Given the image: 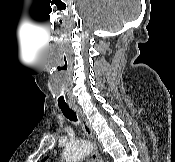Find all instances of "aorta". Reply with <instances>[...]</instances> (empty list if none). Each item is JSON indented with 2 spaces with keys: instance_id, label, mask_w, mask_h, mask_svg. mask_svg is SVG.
I'll use <instances>...</instances> for the list:
<instances>
[{
  "instance_id": "1",
  "label": "aorta",
  "mask_w": 175,
  "mask_h": 162,
  "mask_svg": "<svg viewBox=\"0 0 175 162\" xmlns=\"http://www.w3.org/2000/svg\"><path fill=\"white\" fill-rule=\"evenodd\" d=\"M92 150L93 146L88 141L70 142L64 148L63 158L66 162H77Z\"/></svg>"
}]
</instances>
